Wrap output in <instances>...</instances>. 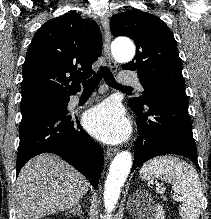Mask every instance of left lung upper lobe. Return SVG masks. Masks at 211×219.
<instances>
[{
    "instance_id": "5c2ea615",
    "label": "left lung upper lobe",
    "mask_w": 211,
    "mask_h": 219,
    "mask_svg": "<svg viewBox=\"0 0 211 219\" xmlns=\"http://www.w3.org/2000/svg\"><path fill=\"white\" fill-rule=\"evenodd\" d=\"M110 30L114 36H128L136 43L134 59L122 65L124 70H136L144 87V96L129 99L132 109L142 108L150 91L185 90L176 41L160 18L138 9L128 10L111 18Z\"/></svg>"
}]
</instances>
